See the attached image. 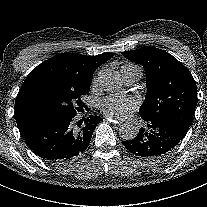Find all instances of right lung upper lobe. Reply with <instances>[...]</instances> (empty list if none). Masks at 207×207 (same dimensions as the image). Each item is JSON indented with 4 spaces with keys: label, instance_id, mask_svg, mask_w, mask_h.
I'll return each mask as SVG.
<instances>
[{
    "label": "right lung upper lobe",
    "instance_id": "obj_1",
    "mask_svg": "<svg viewBox=\"0 0 207 207\" xmlns=\"http://www.w3.org/2000/svg\"><path fill=\"white\" fill-rule=\"evenodd\" d=\"M114 53L86 56L78 53H61L38 65L26 77L18 92L15 116L19 130L35 123L25 114L21 98L31 86L46 84L85 95L89 92L95 70L109 60Z\"/></svg>",
    "mask_w": 207,
    "mask_h": 207
}]
</instances>
